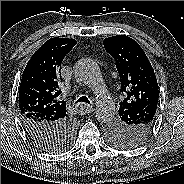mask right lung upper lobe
Returning <instances> with one entry per match:
<instances>
[{"mask_svg": "<svg viewBox=\"0 0 184 184\" xmlns=\"http://www.w3.org/2000/svg\"><path fill=\"white\" fill-rule=\"evenodd\" d=\"M76 43L74 39L51 38L32 55L19 88L21 115L31 113L49 121L66 117V102L59 98L60 68Z\"/></svg>", "mask_w": 184, "mask_h": 184, "instance_id": "cb5924a9", "label": "right lung upper lobe"}]
</instances>
